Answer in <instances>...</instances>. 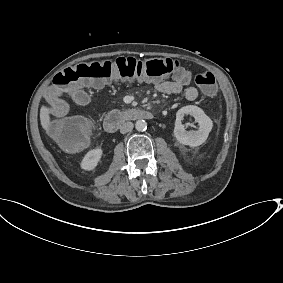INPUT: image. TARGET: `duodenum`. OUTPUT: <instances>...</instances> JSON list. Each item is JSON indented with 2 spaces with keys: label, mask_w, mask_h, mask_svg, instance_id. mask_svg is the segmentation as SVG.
Wrapping results in <instances>:
<instances>
[{
  "label": "duodenum",
  "mask_w": 283,
  "mask_h": 283,
  "mask_svg": "<svg viewBox=\"0 0 283 283\" xmlns=\"http://www.w3.org/2000/svg\"><path fill=\"white\" fill-rule=\"evenodd\" d=\"M134 119L149 120L153 118V114L145 109H137L132 115ZM124 122V117L117 112L106 114L103 119V126L106 132L114 133L118 130L120 125Z\"/></svg>",
  "instance_id": "1"
}]
</instances>
